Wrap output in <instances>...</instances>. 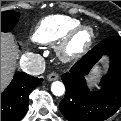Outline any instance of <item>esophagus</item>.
Here are the masks:
<instances>
[{
  "label": "esophagus",
  "mask_w": 121,
  "mask_h": 121,
  "mask_svg": "<svg viewBox=\"0 0 121 121\" xmlns=\"http://www.w3.org/2000/svg\"><path fill=\"white\" fill-rule=\"evenodd\" d=\"M59 79V75L56 72H52L47 76L48 81H55Z\"/></svg>",
  "instance_id": "esophagus-1"
}]
</instances>
